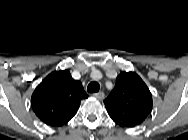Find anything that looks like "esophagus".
<instances>
[{"label":"esophagus","mask_w":188,"mask_h":140,"mask_svg":"<svg viewBox=\"0 0 188 140\" xmlns=\"http://www.w3.org/2000/svg\"><path fill=\"white\" fill-rule=\"evenodd\" d=\"M93 96L99 100H102V99H104L105 94H104V92L100 91V92L94 93Z\"/></svg>","instance_id":"esophagus-1"}]
</instances>
